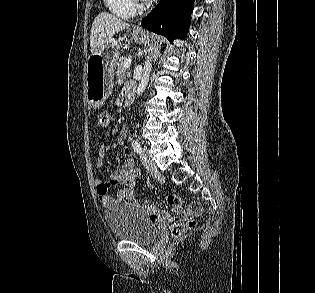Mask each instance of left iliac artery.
<instances>
[{
  "instance_id": "obj_1",
  "label": "left iliac artery",
  "mask_w": 315,
  "mask_h": 293,
  "mask_svg": "<svg viewBox=\"0 0 315 293\" xmlns=\"http://www.w3.org/2000/svg\"><path fill=\"white\" fill-rule=\"evenodd\" d=\"M132 147L134 149L135 152L141 154L142 153V148L140 143L138 142V140H133L132 141Z\"/></svg>"
}]
</instances>
